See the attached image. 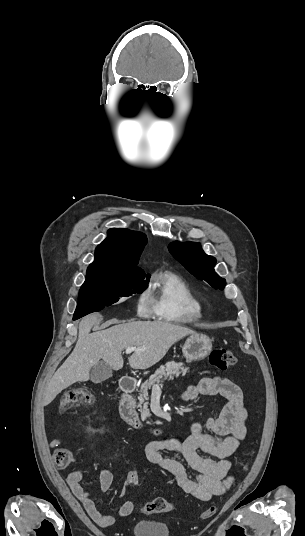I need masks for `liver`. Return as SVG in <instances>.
<instances>
[{
	"instance_id": "obj_1",
	"label": "liver",
	"mask_w": 305,
	"mask_h": 536,
	"mask_svg": "<svg viewBox=\"0 0 305 536\" xmlns=\"http://www.w3.org/2000/svg\"><path fill=\"white\" fill-rule=\"evenodd\" d=\"M102 320L103 316L100 314H89L82 318L77 344L72 354L47 384L43 406H48L57 394L75 382H88L89 372L99 360L109 364L113 370H121L124 364L121 356L122 350L146 348L142 352H134L128 360L133 370H147L160 362L175 342H179L189 334H196L189 328L175 326L169 322H159V320L158 322L129 320V324L109 320L107 326L110 324H118V326L90 334L93 326H97Z\"/></svg>"
}]
</instances>
